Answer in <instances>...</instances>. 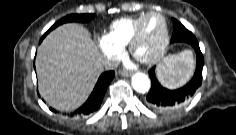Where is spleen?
I'll list each match as a JSON object with an SVG mask.
<instances>
[{
    "mask_svg": "<svg viewBox=\"0 0 236 135\" xmlns=\"http://www.w3.org/2000/svg\"><path fill=\"white\" fill-rule=\"evenodd\" d=\"M195 61L191 50H184L178 54L164 58L157 69L160 82L169 89H175L186 83L193 75Z\"/></svg>",
    "mask_w": 236,
    "mask_h": 135,
    "instance_id": "spleen-1",
    "label": "spleen"
}]
</instances>
